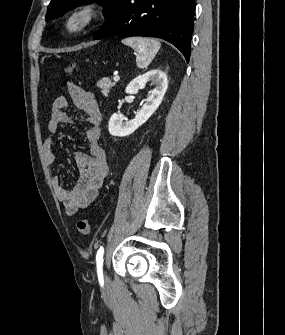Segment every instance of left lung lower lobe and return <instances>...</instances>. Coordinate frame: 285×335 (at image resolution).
<instances>
[{"label": "left lung lower lobe", "instance_id": "obj_1", "mask_svg": "<svg viewBox=\"0 0 285 335\" xmlns=\"http://www.w3.org/2000/svg\"><path fill=\"white\" fill-rule=\"evenodd\" d=\"M195 0H119L94 40L119 35L157 37L190 59Z\"/></svg>", "mask_w": 285, "mask_h": 335}]
</instances>
